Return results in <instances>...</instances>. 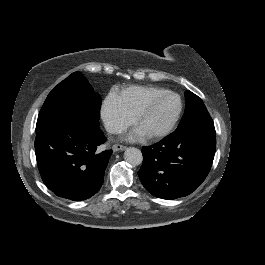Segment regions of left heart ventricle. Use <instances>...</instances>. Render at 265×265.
Masks as SVG:
<instances>
[{"label":"left heart ventricle","mask_w":265,"mask_h":265,"mask_svg":"<svg viewBox=\"0 0 265 265\" xmlns=\"http://www.w3.org/2000/svg\"><path fill=\"white\" fill-rule=\"evenodd\" d=\"M179 108V100L168 93L157 95L148 110L138 119L137 127L143 134L156 131L172 119Z\"/></svg>","instance_id":"left-heart-ventricle-1"}]
</instances>
